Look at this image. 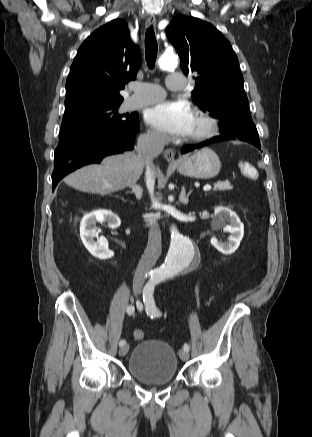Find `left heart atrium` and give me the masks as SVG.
<instances>
[{
	"instance_id": "1",
	"label": "left heart atrium",
	"mask_w": 312,
	"mask_h": 437,
	"mask_svg": "<svg viewBox=\"0 0 312 437\" xmlns=\"http://www.w3.org/2000/svg\"><path fill=\"white\" fill-rule=\"evenodd\" d=\"M145 119L163 133L185 137L191 134L195 117L187 104L165 101L149 109Z\"/></svg>"
}]
</instances>
